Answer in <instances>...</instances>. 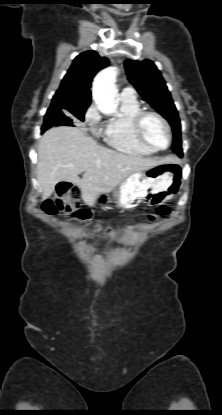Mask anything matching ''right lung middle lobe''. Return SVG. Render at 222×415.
<instances>
[{"label":"right lung middle lobe","mask_w":222,"mask_h":415,"mask_svg":"<svg viewBox=\"0 0 222 415\" xmlns=\"http://www.w3.org/2000/svg\"><path fill=\"white\" fill-rule=\"evenodd\" d=\"M89 104H72V105H61L58 107H52L48 109L46 116L49 118L48 124L51 123L53 126L67 125L72 126L73 120L69 115L84 121V114Z\"/></svg>","instance_id":"1"}]
</instances>
